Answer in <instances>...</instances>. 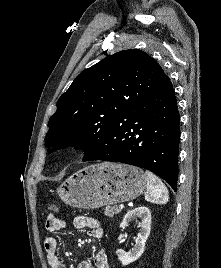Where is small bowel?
Wrapping results in <instances>:
<instances>
[{
    "label": "small bowel",
    "mask_w": 221,
    "mask_h": 268,
    "mask_svg": "<svg viewBox=\"0 0 221 268\" xmlns=\"http://www.w3.org/2000/svg\"><path fill=\"white\" fill-rule=\"evenodd\" d=\"M45 227L49 232H58L66 228V222L57 216L49 215ZM73 227L77 230L86 229L89 236L95 239H101L103 230L97 220L87 216H78L73 220ZM44 248L48 264L51 268H66L65 264L58 256V241L55 237L49 236L44 241ZM77 268H109V262L106 252L99 250L93 261L85 260L78 264Z\"/></svg>",
    "instance_id": "small-bowel-1"
}]
</instances>
